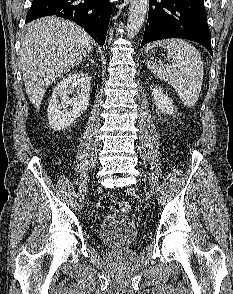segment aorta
Listing matches in <instances>:
<instances>
[{
  "mask_svg": "<svg viewBox=\"0 0 233 294\" xmlns=\"http://www.w3.org/2000/svg\"><path fill=\"white\" fill-rule=\"evenodd\" d=\"M148 10V0H130L127 36L132 39L142 27Z\"/></svg>",
  "mask_w": 233,
  "mask_h": 294,
  "instance_id": "aorta-1",
  "label": "aorta"
}]
</instances>
